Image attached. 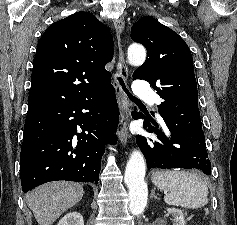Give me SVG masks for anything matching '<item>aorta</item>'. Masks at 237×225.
Wrapping results in <instances>:
<instances>
[{
  "mask_svg": "<svg viewBox=\"0 0 237 225\" xmlns=\"http://www.w3.org/2000/svg\"><path fill=\"white\" fill-rule=\"evenodd\" d=\"M128 61L134 65H141L146 59V50L143 46L132 44L127 52ZM146 163L142 153L136 149L130 155L124 175L129 189L130 211L139 214L147 203L148 189L144 181Z\"/></svg>",
  "mask_w": 237,
  "mask_h": 225,
  "instance_id": "aorta-1",
  "label": "aorta"
}]
</instances>
